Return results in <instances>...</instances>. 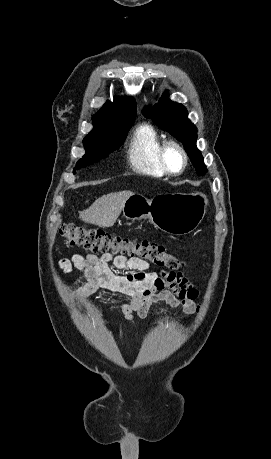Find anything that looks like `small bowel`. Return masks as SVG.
<instances>
[{
  "label": "small bowel",
  "instance_id": "1",
  "mask_svg": "<svg viewBox=\"0 0 271 459\" xmlns=\"http://www.w3.org/2000/svg\"><path fill=\"white\" fill-rule=\"evenodd\" d=\"M110 263L119 272L114 271ZM59 265L64 273L75 268L86 278L87 283L74 292L76 297L91 294L98 288L130 297V301L121 307L127 325L120 331V337L135 316L146 317L152 303L162 301L172 308L182 307L186 315L195 310L199 294L187 276L175 272L158 274L150 269L147 261L137 257L111 253L101 256L75 254L71 259L61 260Z\"/></svg>",
  "mask_w": 271,
  "mask_h": 459
}]
</instances>
